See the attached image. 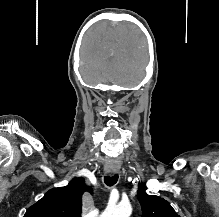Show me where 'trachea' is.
<instances>
[{
  "mask_svg": "<svg viewBox=\"0 0 219 217\" xmlns=\"http://www.w3.org/2000/svg\"><path fill=\"white\" fill-rule=\"evenodd\" d=\"M117 181H118V174L104 177L105 184L110 187L116 184Z\"/></svg>",
  "mask_w": 219,
  "mask_h": 217,
  "instance_id": "3493384b",
  "label": "trachea"
}]
</instances>
